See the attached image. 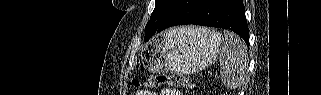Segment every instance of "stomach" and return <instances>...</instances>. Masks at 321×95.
Masks as SVG:
<instances>
[{
	"instance_id": "obj_1",
	"label": "stomach",
	"mask_w": 321,
	"mask_h": 95,
	"mask_svg": "<svg viewBox=\"0 0 321 95\" xmlns=\"http://www.w3.org/2000/svg\"><path fill=\"white\" fill-rule=\"evenodd\" d=\"M223 43L219 33L184 27L163 32L150 44L143 63L153 72L192 74L212 64Z\"/></svg>"
}]
</instances>
